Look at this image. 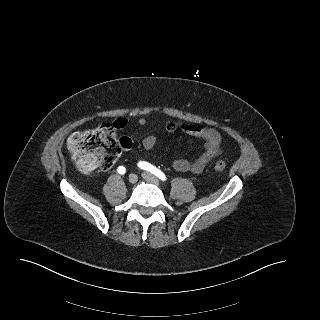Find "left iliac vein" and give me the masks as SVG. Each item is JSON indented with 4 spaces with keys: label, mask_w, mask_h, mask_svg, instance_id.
I'll list each match as a JSON object with an SVG mask.
<instances>
[{
    "label": "left iliac vein",
    "mask_w": 320,
    "mask_h": 320,
    "mask_svg": "<svg viewBox=\"0 0 320 320\" xmlns=\"http://www.w3.org/2000/svg\"><path fill=\"white\" fill-rule=\"evenodd\" d=\"M142 177H143L146 181H148V182H150V183H153V184H155V185H157V186L160 184L158 178L155 177L153 174H151V173H149V172H143V173H142Z\"/></svg>",
    "instance_id": "left-iliac-vein-1"
}]
</instances>
